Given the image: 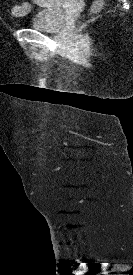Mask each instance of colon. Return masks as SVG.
Here are the masks:
<instances>
[{
    "instance_id": "obj_1",
    "label": "colon",
    "mask_w": 133,
    "mask_h": 275,
    "mask_svg": "<svg viewBox=\"0 0 133 275\" xmlns=\"http://www.w3.org/2000/svg\"><path fill=\"white\" fill-rule=\"evenodd\" d=\"M102 8V1L97 0L93 6V11L98 12ZM30 10V5L28 3H23L21 5H16L12 8V14L14 16H22Z\"/></svg>"
}]
</instances>
